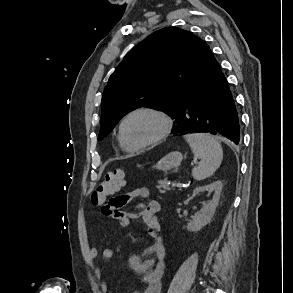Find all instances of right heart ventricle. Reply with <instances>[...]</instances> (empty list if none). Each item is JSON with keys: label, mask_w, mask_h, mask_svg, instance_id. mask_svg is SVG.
<instances>
[{"label": "right heart ventricle", "mask_w": 293, "mask_h": 293, "mask_svg": "<svg viewBox=\"0 0 293 293\" xmlns=\"http://www.w3.org/2000/svg\"><path fill=\"white\" fill-rule=\"evenodd\" d=\"M119 142H120V139H119ZM120 145L123 147V145L121 144V142H120ZM124 148V147H123ZM125 149V148H124Z\"/></svg>", "instance_id": "right-heart-ventricle-1"}]
</instances>
